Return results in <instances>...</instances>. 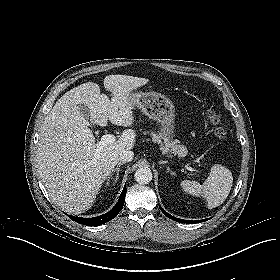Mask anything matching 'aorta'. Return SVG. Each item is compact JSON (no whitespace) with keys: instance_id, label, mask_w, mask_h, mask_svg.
Here are the masks:
<instances>
[{"instance_id":"aorta-1","label":"aorta","mask_w":280,"mask_h":280,"mask_svg":"<svg viewBox=\"0 0 280 280\" xmlns=\"http://www.w3.org/2000/svg\"><path fill=\"white\" fill-rule=\"evenodd\" d=\"M134 178L139 184H148L152 180V172L148 167L138 168L134 174Z\"/></svg>"}]
</instances>
